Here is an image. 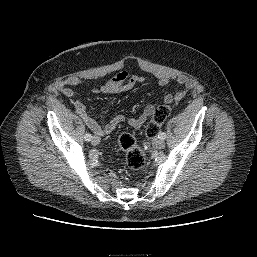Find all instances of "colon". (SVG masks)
Segmentation results:
<instances>
[{
	"label": "colon",
	"instance_id": "5ec220e1",
	"mask_svg": "<svg viewBox=\"0 0 257 257\" xmlns=\"http://www.w3.org/2000/svg\"><path fill=\"white\" fill-rule=\"evenodd\" d=\"M169 114L170 107L168 105H161L155 109L151 120L146 126V136L148 138H153L157 134ZM118 145L125 152V162L129 169L139 170L144 166L145 154L137 144L133 134L129 132L121 134L118 139Z\"/></svg>",
	"mask_w": 257,
	"mask_h": 257
}]
</instances>
